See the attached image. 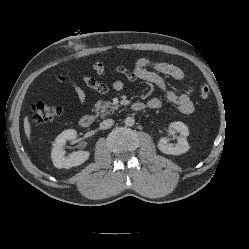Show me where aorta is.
Here are the masks:
<instances>
[{"instance_id":"762f6f07","label":"aorta","mask_w":249,"mask_h":249,"mask_svg":"<svg viewBox=\"0 0 249 249\" xmlns=\"http://www.w3.org/2000/svg\"><path fill=\"white\" fill-rule=\"evenodd\" d=\"M134 123H135V120H134V118H132V117H127V118L125 119V125H126V126H133Z\"/></svg>"}]
</instances>
